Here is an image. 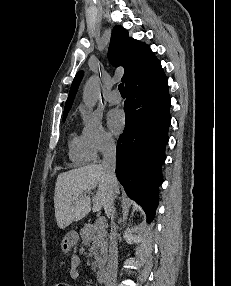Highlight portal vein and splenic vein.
<instances>
[{"mask_svg":"<svg viewBox=\"0 0 231 286\" xmlns=\"http://www.w3.org/2000/svg\"><path fill=\"white\" fill-rule=\"evenodd\" d=\"M105 223H106V220H105V218L104 217H99L97 220H96V222H95V225H96V227H98V228H104L105 227Z\"/></svg>","mask_w":231,"mask_h":286,"instance_id":"18ae733b","label":"portal vein and splenic vein"}]
</instances>
